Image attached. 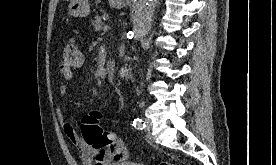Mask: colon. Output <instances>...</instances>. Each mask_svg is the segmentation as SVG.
Masks as SVG:
<instances>
[{"instance_id":"obj_1","label":"colon","mask_w":276,"mask_h":165,"mask_svg":"<svg viewBox=\"0 0 276 165\" xmlns=\"http://www.w3.org/2000/svg\"><path fill=\"white\" fill-rule=\"evenodd\" d=\"M82 55L78 44L74 39H68L65 43L61 61V74L72 73L81 65ZM101 113L93 111L85 116L81 124L82 137L86 144L102 153L113 154L116 160H122L127 156L123 140L116 134L105 131L100 126ZM160 165H174L162 162Z\"/></svg>"}]
</instances>
